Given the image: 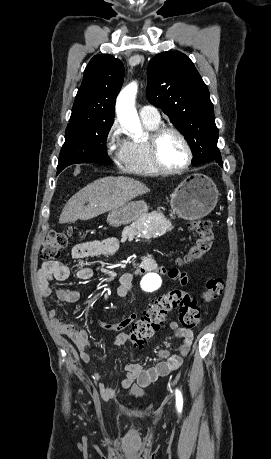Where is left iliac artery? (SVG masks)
Returning a JSON list of instances; mask_svg holds the SVG:
<instances>
[{"mask_svg":"<svg viewBox=\"0 0 271 459\" xmlns=\"http://www.w3.org/2000/svg\"><path fill=\"white\" fill-rule=\"evenodd\" d=\"M176 407H177L178 412L182 411L183 397H182L181 392L178 389H176Z\"/></svg>","mask_w":271,"mask_h":459,"instance_id":"obj_1","label":"left iliac artery"}]
</instances>
